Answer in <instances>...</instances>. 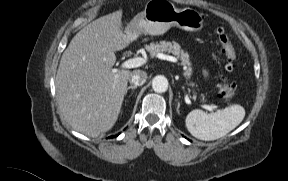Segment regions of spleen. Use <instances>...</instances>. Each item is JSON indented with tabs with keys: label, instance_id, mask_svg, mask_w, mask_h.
I'll return each instance as SVG.
<instances>
[{
	"label": "spleen",
	"instance_id": "obj_1",
	"mask_svg": "<svg viewBox=\"0 0 288 181\" xmlns=\"http://www.w3.org/2000/svg\"><path fill=\"white\" fill-rule=\"evenodd\" d=\"M244 117V108L241 105L233 104L215 113H206L203 110L195 109L186 116L185 124L195 138L212 141L235 129Z\"/></svg>",
	"mask_w": 288,
	"mask_h": 181
}]
</instances>
